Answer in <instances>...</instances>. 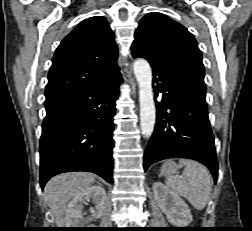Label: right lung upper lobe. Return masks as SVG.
I'll list each match as a JSON object with an SVG mask.
<instances>
[{
    "instance_id": "obj_1",
    "label": "right lung upper lobe",
    "mask_w": 252,
    "mask_h": 231,
    "mask_svg": "<svg viewBox=\"0 0 252 231\" xmlns=\"http://www.w3.org/2000/svg\"><path fill=\"white\" fill-rule=\"evenodd\" d=\"M114 37L108 22L100 16L84 20L74 28L54 54L45 104H58L81 89L121 76Z\"/></svg>"
}]
</instances>
